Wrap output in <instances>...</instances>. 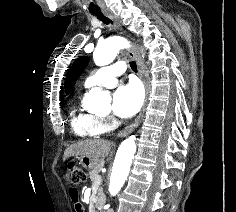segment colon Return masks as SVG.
Wrapping results in <instances>:
<instances>
[{
	"mask_svg": "<svg viewBox=\"0 0 236 212\" xmlns=\"http://www.w3.org/2000/svg\"><path fill=\"white\" fill-rule=\"evenodd\" d=\"M67 180L73 186H78L85 180L84 171L75 163H70L67 167Z\"/></svg>",
	"mask_w": 236,
	"mask_h": 212,
	"instance_id": "obj_1",
	"label": "colon"
}]
</instances>
